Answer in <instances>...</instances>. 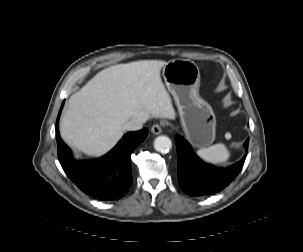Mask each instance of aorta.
<instances>
[{
	"instance_id": "obj_1",
	"label": "aorta",
	"mask_w": 303,
	"mask_h": 252,
	"mask_svg": "<svg viewBox=\"0 0 303 252\" xmlns=\"http://www.w3.org/2000/svg\"><path fill=\"white\" fill-rule=\"evenodd\" d=\"M154 148L158 152L166 153L172 148V142L167 136H158L154 140Z\"/></svg>"
}]
</instances>
